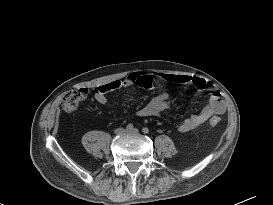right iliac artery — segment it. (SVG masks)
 Listing matches in <instances>:
<instances>
[{"instance_id": "obj_1", "label": "right iliac artery", "mask_w": 273, "mask_h": 205, "mask_svg": "<svg viewBox=\"0 0 273 205\" xmlns=\"http://www.w3.org/2000/svg\"><path fill=\"white\" fill-rule=\"evenodd\" d=\"M126 129H127V130H132V129H133V124L129 123V124L126 126Z\"/></svg>"}]
</instances>
